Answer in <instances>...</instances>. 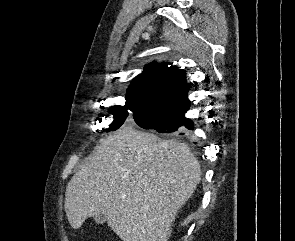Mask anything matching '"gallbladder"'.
Returning a JSON list of instances; mask_svg holds the SVG:
<instances>
[{"label": "gallbladder", "mask_w": 295, "mask_h": 241, "mask_svg": "<svg viewBox=\"0 0 295 241\" xmlns=\"http://www.w3.org/2000/svg\"><path fill=\"white\" fill-rule=\"evenodd\" d=\"M94 220L97 224H103L106 221V217L104 214H100L99 216H95Z\"/></svg>", "instance_id": "bac80fb5"}]
</instances>
